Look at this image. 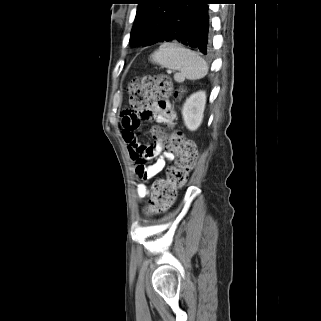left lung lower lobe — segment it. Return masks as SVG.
<instances>
[{"label": "left lung lower lobe", "instance_id": "obj_1", "mask_svg": "<svg viewBox=\"0 0 321 321\" xmlns=\"http://www.w3.org/2000/svg\"><path fill=\"white\" fill-rule=\"evenodd\" d=\"M214 0H178L161 42H179L203 54L211 50L208 4Z\"/></svg>", "mask_w": 321, "mask_h": 321}]
</instances>
